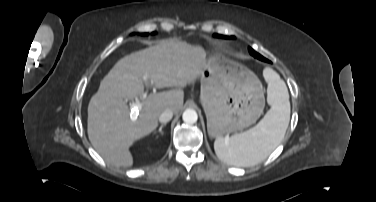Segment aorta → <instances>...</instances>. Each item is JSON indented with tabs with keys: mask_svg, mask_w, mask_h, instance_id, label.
<instances>
[{
	"mask_svg": "<svg viewBox=\"0 0 376 202\" xmlns=\"http://www.w3.org/2000/svg\"><path fill=\"white\" fill-rule=\"evenodd\" d=\"M182 119L187 124H194L198 120V114L193 109H186L183 112Z\"/></svg>",
	"mask_w": 376,
	"mask_h": 202,
	"instance_id": "762f6f07",
	"label": "aorta"
}]
</instances>
